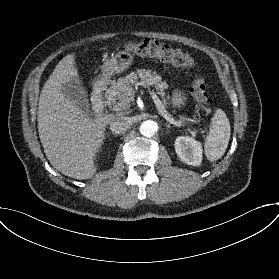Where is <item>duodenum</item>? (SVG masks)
Returning a JSON list of instances; mask_svg holds the SVG:
<instances>
[{"label": "duodenum", "instance_id": "duodenum-1", "mask_svg": "<svg viewBox=\"0 0 279 279\" xmlns=\"http://www.w3.org/2000/svg\"><path fill=\"white\" fill-rule=\"evenodd\" d=\"M91 108L94 114L100 115L104 109V102L102 97V87L100 84L93 89L91 96Z\"/></svg>", "mask_w": 279, "mask_h": 279}]
</instances>
